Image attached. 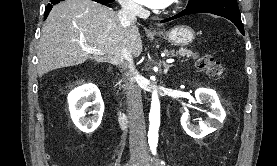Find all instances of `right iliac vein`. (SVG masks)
<instances>
[{
  "instance_id": "right-iliac-vein-1",
  "label": "right iliac vein",
  "mask_w": 277,
  "mask_h": 166,
  "mask_svg": "<svg viewBox=\"0 0 277 166\" xmlns=\"http://www.w3.org/2000/svg\"><path fill=\"white\" fill-rule=\"evenodd\" d=\"M128 166H141L139 162H130Z\"/></svg>"
}]
</instances>
